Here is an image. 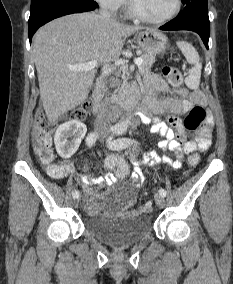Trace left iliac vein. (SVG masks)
<instances>
[{
	"instance_id": "4c4485c4",
	"label": "left iliac vein",
	"mask_w": 233,
	"mask_h": 284,
	"mask_svg": "<svg viewBox=\"0 0 233 284\" xmlns=\"http://www.w3.org/2000/svg\"><path fill=\"white\" fill-rule=\"evenodd\" d=\"M154 199H155L156 205H157L159 208H163V207H164V205H165V200H164V197H163V196H161L160 194H159V195L157 194V195H155Z\"/></svg>"
}]
</instances>
